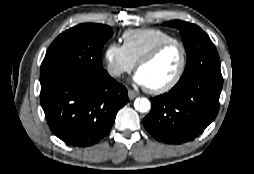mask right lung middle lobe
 Listing matches in <instances>:
<instances>
[{
    "mask_svg": "<svg viewBox=\"0 0 254 174\" xmlns=\"http://www.w3.org/2000/svg\"><path fill=\"white\" fill-rule=\"evenodd\" d=\"M112 34L109 26L93 23L61 33L49 46L41 64V89L105 73L100 54Z\"/></svg>",
    "mask_w": 254,
    "mask_h": 174,
    "instance_id": "dd1d6c3e",
    "label": "right lung middle lobe"
}]
</instances>
